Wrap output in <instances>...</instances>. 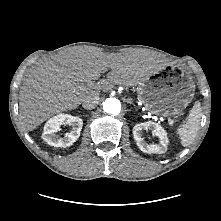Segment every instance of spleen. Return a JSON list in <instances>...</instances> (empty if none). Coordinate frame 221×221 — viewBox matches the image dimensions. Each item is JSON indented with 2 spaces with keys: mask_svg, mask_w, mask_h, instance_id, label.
<instances>
[{
  "mask_svg": "<svg viewBox=\"0 0 221 221\" xmlns=\"http://www.w3.org/2000/svg\"><path fill=\"white\" fill-rule=\"evenodd\" d=\"M200 117L201 109L196 104L191 109L187 122L177 129L182 146L187 147L195 140L199 130Z\"/></svg>",
  "mask_w": 221,
  "mask_h": 221,
  "instance_id": "1",
  "label": "spleen"
}]
</instances>
